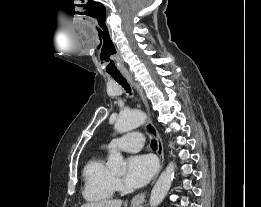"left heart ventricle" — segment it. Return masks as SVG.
<instances>
[{"instance_id":"1","label":"left heart ventricle","mask_w":261,"mask_h":207,"mask_svg":"<svg viewBox=\"0 0 261 207\" xmlns=\"http://www.w3.org/2000/svg\"><path fill=\"white\" fill-rule=\"evenodd\" d=\"M123 175H124V172H118V173H117V176H120V177H121V176H123Z\"/></svg>"}]
</instances>
